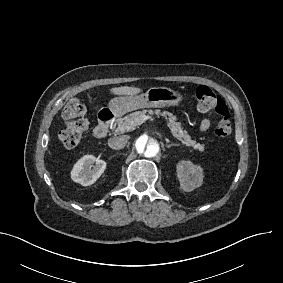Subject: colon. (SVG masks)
Listing matches in <instances>:
<instances>
[{
	"label": "colon",
	"mask_w": 283,
	"mask_h": 283,
	"mask_svg": "<svg viewBox=\"0 0 283 283\" xmlns=\"http://www.w3.org/2000/svg\"><path fill=\"white\" fill-rule=\"evenodd\" d=\"M197 108L204 112H215L218 120L215 123V135L218 138H227L231 134L232 126L230 111L224 100L211 88L200 86L196 93ZM65 128L60 131L61 143L67 148L76 147L88 129L86 107L77 98L71 99L63 108L61 114Z\"/></svg>",
	"instance_id": "1"
}]
</instances>
